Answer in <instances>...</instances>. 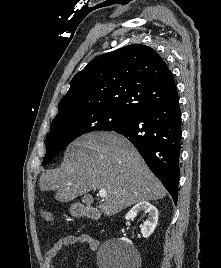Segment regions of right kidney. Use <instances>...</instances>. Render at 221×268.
<instances>
[{
    "label": "right kidney",
    "instance_id": "ca27d5eb",
    "mask_svg": "<svg viewBox=\"0 0 221 268\" xmlns=\"http://www.w3.org/2000/svg\"><path fill=\"white\" fill-rule=\"evenodd\" d=\"M148 213V219L141 226V233L144 238H148L155 230L158 222V210L152 204L146 201H142L136 204L125 216L126 220L133 219L138 213ZM123 242L131 243L127 238L121 239Z\"/></svg>",
    "mask_w": 221,
    "mask_h": 268
}]
</instances>
